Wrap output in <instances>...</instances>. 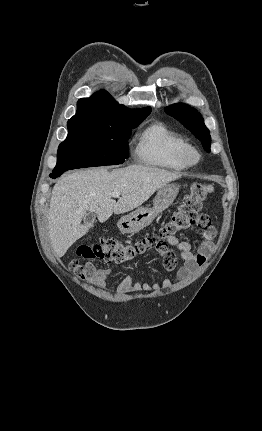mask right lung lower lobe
I'll return each mask as SVG.
<instances>
[{
  "label": "right lung lower lobe",
  "mask_w": 262,
  "mask_h": 431,
  "mask_svg": "<svg viewBox=\"0 0 262 431\" xmlns=\"http://www.w3.org/2000/svg\"><path fill=\"white\" fill-rule=\"evenodd\" d=\"M62 173L63 172H53V173L50 174V177L51 178H56V177L60 176Z\"/></svg>",
  "instance_id": "1"
}]
</instances>
